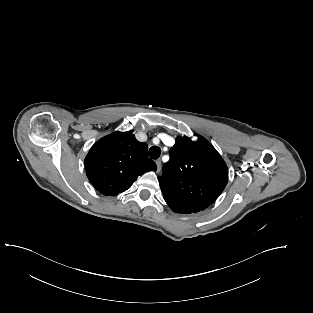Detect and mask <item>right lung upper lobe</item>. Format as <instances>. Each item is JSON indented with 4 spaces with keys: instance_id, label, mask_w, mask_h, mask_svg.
I'll return each instance as SVG.
<instances>
[{
    "instance_id": "1",
    "label": "right lung upper lobe",
    "mask_w": 313,
    "mask_h": 313,
    "mask_svg": "<svg viewBox=\"0 0 313 313\" xmlns=\"http://www.w3.org/2000/svg\"><path fill=\"white\" fill-rule=\"evenodd\" d=\"M148 145L131 132L116 131L98 140L85 158L90 183L104 195H117L130 188L139 175L156 171L147 156Z\"/></svg>"
}]
</instances>
